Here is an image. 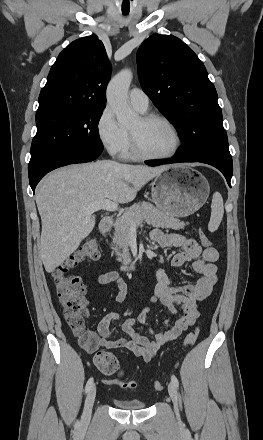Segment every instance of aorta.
Masks as SVG:
<instances>
[{
  "instance_id": "aorta-1",
  "label": "aorta",
  "mask_w": 263,
  "mask_h": 440,
  "mask_svg": "<svg viewBox=\"0 0 263 440\" xmlns=\"http://www.w3.org/2000/svg\"><path fill=\"white\" fill-rule=\"evenodd\" d=\"M133 75L130 69L117 73L107 87V102L122 125H128L138 119V114L128 105V90Z\"/></svg>"
}]
</instances>
